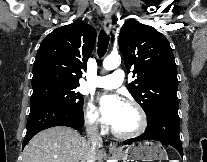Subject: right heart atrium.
I'll return each mask as SVG.
<instances>
[{
	"instance_id": "obj_1",
	"label": "right heart atrium",
	"mask_w": 207,
	"mask_h": 162,
	"mask_svg": "<svg viewBox=\"0 0 207 162\" xmlns=\"http://www.w3.org/2000/svg\"><path fill=\"white\" fill-rule=\"evenodd\" d=\"M84 120L87 126L93 129H100L102 127L99 113L95 105L89 101L84 111Z\"/></svg>"
}]
</instances>
